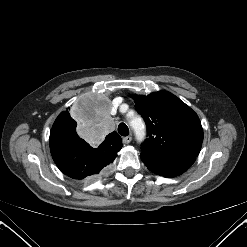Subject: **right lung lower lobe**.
Listing matches in <instances>:
<instances>
[{"label":"right lung lower lobe","instance_id":"obj_1","mask_svg":"<svg viewBox=\"0 0 247 247\" xmlns=\"http://www.w3.org/2000/svg\"><path fill=\"white\" fill-rule=\"evenodd\" d=\"M109 146L92 148L76 132L52 128L50 150L58 168L68 177L84 179L98 174L114 161L117 152Z\"/></svg>","mask_w":247,"mask_h":247}]
</instances>
